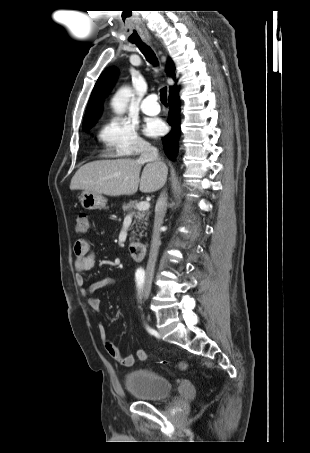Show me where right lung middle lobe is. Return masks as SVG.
Segmentation results:
<instances>
[{
  "mask_svg": "<svg viewBox=\"0 0 310 453\" xmlns=\"http://www.w3.org/2000/svg\"><path fill=\"white\" fill-rule=\"evenodd\" d=\"M92 125H88V126H82L83 130H86V129H89L91 128Z\"/></svg>",
  "mask_w": 310,
  "mask_h": 453,
  "instance_id": "1",
  "label": "right lung middle lobe"
}]
</instances>
